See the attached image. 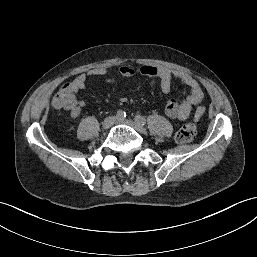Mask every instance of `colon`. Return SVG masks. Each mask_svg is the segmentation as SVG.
I'll return each instance as SVG.
<instances>
[{
	"instance_id": "colon-1",
	"label": "colon",
	"mask_w": 257,
	"mask_h": 257,
	"mask_svg": "<svg viewBox=\"0 0 257 257\" xmlns=\"http://www.w3.org/2000/svg\"><path fill=\"white\" fill-rule=\"evenodd\" d=\"M54 105L60 109L73 111L77 107V101L74 95L69 91L67 85L63 86L54 97ZM197 134V127L194 121L184 124L176 133V140L179 143L191 142Z\"/></svg>"
}]
</instances>
